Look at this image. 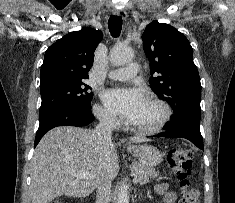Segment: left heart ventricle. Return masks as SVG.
<instances>
[{
    "instance_id": "obj_1",
    "label": "left heart ventricle",
    "mask_w": 235,
    "mask_h": 203,
    "mask_svg": "<svg viewBox=\"0 0 235 203\" xmlns=\"http://www.w3.org/2000/svg\"><path fill=\"white\" fill-rule=\"evenodd\" d=\"M160 115V108L147 101L138 115L131 121V124L136 126H150L159 119Z\"/></svg>"
}]
</instances>
